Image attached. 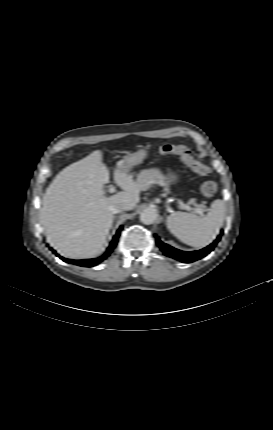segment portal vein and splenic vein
<instances>
[{
    "label": "portal vein and splenic vein",
    "mask_w": 273,
    "mask_h": 430,
    "mask_svg": "<svg viewBox=\"0 0 273 430\" xmlns=\"http://www.w3.org/2000/svg\"><path fill=\"white\" fill-rule=\"evenodd\" d=\"M109 192H110V193L114 192V188H110V189H109ZM181 208H182V209H185V210H188V211H191V210L193 209L192 207H190V206H188V205H186V204H183V203H181ZM196 210H197V211H196L197 213H199V214H201V215L203 214L204 209H202V208H197Z\"/></svg>",
    "instance_id": "1"
}]
</instances>
